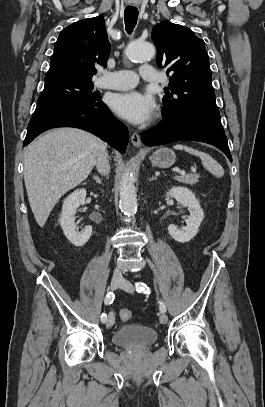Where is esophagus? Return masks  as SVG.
<instances>
[{"label":"esophagus","mask_w":265,"mask_h":407,"mask_svg":"<svg viewBox=\"0 0 265 407\" xmlns=\"http://www.w3.org/2000/svg\"><path fill=\"white\" fill-rule=\"evenodd\" d=\"M131 142L135 147H139L141 145V138L138 133L134 132L131 136Z\"/></svg>","instance_id":"obj_1"}]
</instances>
